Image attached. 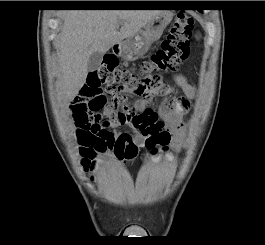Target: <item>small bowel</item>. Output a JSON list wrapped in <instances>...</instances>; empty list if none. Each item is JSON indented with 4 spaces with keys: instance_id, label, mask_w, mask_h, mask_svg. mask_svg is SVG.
Returning a JSON list of instances; mask_svg holds the SVG:
<instances>
[{
    "instance_id": "c3829d8e",
    "label": "small bowel",
    "mask_w": 265,
    "mask_h": 245,
    "mask_svg": "<svg viewBox=\"0 0 265 245\" xmlns=\"http://www.w3.org/2000/svg\"><path fill=\"white\" fill-rule=\"evenodd\" d=\"M174 83L183 91L185 98L189 99L195 95V87L190 84L183 75H176L174 77ZM163 88V103L154 113L161 119L172 133V138L170 141V147L173 151L179 152L188 145L186 138V130L183 123L184 116L188 111V104L184 98H174L172 97L173 89L160 83ZM102 96L98 93L94 94L92 89L86 85L84 86L77 99L74 101V108L76 109V117L78 118L81 113L91 112L92 105H101ZM104 114L110 118L100 124L101 130H106L113 133L115 139L122 140L124 145L137 151V141H141L142 137L140 135L134 136L129 132H113L112 129L120 125L118 118L121 113L115 114L109 107L105 104L101 107ZM134 110L145 111L147 105L143 101H137L134 106ZM106 148H86L78 144V155L81 159L82 169L88 174L91 179H94L97 174L103 173L104 169L101 164L100 157L106 152ZM133 156H120L115 155V159L124 163L130 160Z\"/></svg>"
}]
</instances>
